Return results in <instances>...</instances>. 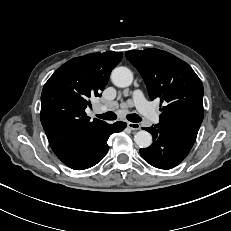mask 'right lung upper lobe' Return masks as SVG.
Returning <instances> with one entry per match:
<instances>
[{
    "label": "right lung upper lobe",
    "instance_id": "1",
    "mask_svg": "<svg viewBox=\"0 0 231 231\" xmlns=\"http://www.w3.org/2000/svg\"><path fill=\"white\" fill-rule=\"evenodd\" d=\"M122 56L121 52H105L73 58L44 85L41 123L52 150L64 164L75 157L86 141L108 127L96 118L90 121L85 109L91 106L90 98L100 96Z\"/></svg>",
    "mask_w": 231,
    "mask_h": 231
}]
</instances>
